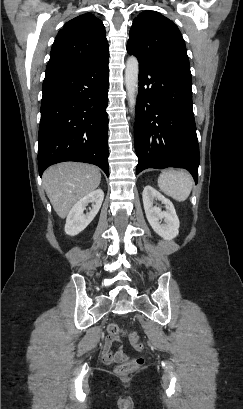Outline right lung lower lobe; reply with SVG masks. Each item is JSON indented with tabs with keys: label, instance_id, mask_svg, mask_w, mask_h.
<instances>
[{
	"label": "right lung lower lobe",
	"instance_id": "98d812e1",
	"mask_svg": "<svg viewBox=\"0 0 243 409\" xmlns=\"http://www.w3.org/2000/svg\"><path fill=\"white\" fill-rule=\"evenodd\" d=\"M109 54L75 70L46 76L38 136L39 174L63 161L108 170Z\"/></svg>",
	"mask_w": 243,
	"mask_h": 409
}]
</instances>
